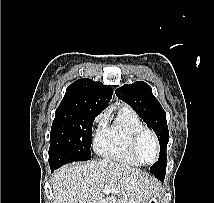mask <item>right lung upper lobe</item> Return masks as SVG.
Instances as JSON below:
<instances>
[{
    "label": "right lung upper lobe",
    "instance_id": "right-lung-upper-lobe-1",
    "mask_svg": "<svg viewBox=\"0 0 214 203\" xmlns=\"http://www.w3.org/2000/svg\"><path fill=\"white\" fill-rule=\"evenodd\" d=\"M113 90L101 82L88 78L79 79L69 85L60 106H83L104 110L111 100Z\"/></svg>",
    "mask_w": 214,
    "mask_h": 203
}]
</instances>
